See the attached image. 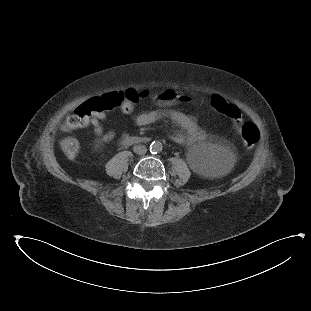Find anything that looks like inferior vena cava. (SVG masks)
I'll return each mask as SVG.
<instances>
[{
  "mask_svg": "<svg viewBox=\"0 0 311 311\" xmlns=\"http://www.w3.org/2000/svg\"><path fill=\"white\" fill-rule=\"evenodd\" d=\"M133 151L136 154L144 155L147 152V148L144 145H136L133 147Z\"/></svg>",
  "mask_w": 311,
  "mask_h": 311,
  "instance_id": "602c4592",
  "label": "inferior vena cava"
}]
</instances>
